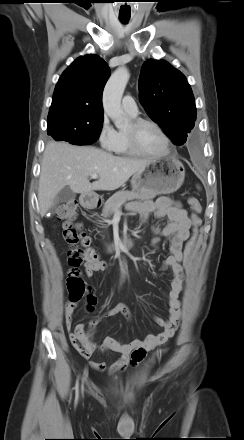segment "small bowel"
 <instances>
[{"mask_svg":"<svg viewBox=\"0 0 244 440\" xmlns=\"http://www.w3.org/2000/svg\"><path fill=\"white\" fill-rule=\"evenodd\" d=\"M128 208L132 212L139 213L144 223L151 215L155 218L167 217L168 219V223L163 228L152 227L155 234L152 243L157 246L163 239L169 243V255L163 263V268L169 269L171 272L170 287L167 293L169 310L166 319L155 317L157 324L163 328L162 332L157 335L150 334L144 340L134 339L130 342L106 337L102 343L98 344L93 339V333L100 319L121 313L127 320H130L131 314L128 309L122 304L117 305L103 316L91 320L88 323L89 331L86 333L84 324H77L71 331L72 318L77 305L74 303L66 307L65 326L69 331L73 346L83 358L90 359L92 353L97 350L119 354L118 360L110 366L105 363L89 362L93 369L110 374L122 372L128 366H137L144 358L146 351L165 344L174 335L180 320L181 303L179 297L183 289L182 246L189 236V229L192 225L191 219L181 204L167 197H161L156 201L134 202ZM84 268L86 275L92 277L94 273L103 271L106 264L86 262Z\"/></svg>","mask_w":244,"mask_h":440,"instance_id":"small-bowel-1","label":"small bowel"}]
</instances>
